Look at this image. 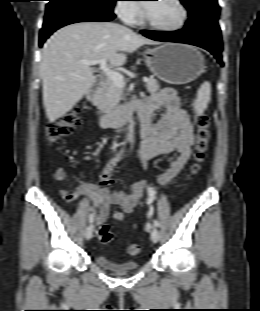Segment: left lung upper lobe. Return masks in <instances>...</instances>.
<instances>
[{"label": "left lung upper lobe", "instance_id": "left-lung-upper-lobe-1", "mask_svg": "<svg viewBox=\"0 0 260 311\" xmlns=\"http://www.w3.org/2000/svg\"><path fill=\"white\" fill-rule=\"evenodd\" d=\"M188 9L189 20L185 27L204 28L220 32L218 15L220 7L217 0H180Z\"/></svg>", "mask_w": 260, "mask_h": 311}]
</instances>
